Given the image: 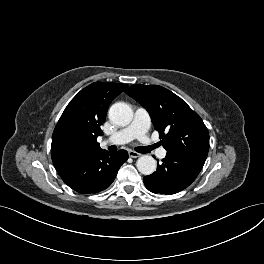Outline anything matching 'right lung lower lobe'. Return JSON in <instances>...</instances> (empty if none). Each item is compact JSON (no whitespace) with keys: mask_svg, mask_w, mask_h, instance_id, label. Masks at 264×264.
<instances>
[{"mask_svg":"<svg viewBox=\"0 0 264 264\" xmlns=\"http://www.w3.org/2000/svg\"><path fill=\"white\" fill-rule=\"evenodd\" d=\"M127 159L128 153L124 150H104L58 173L73 190L82 194L97 193L111 185Z\"/></svg>","mask_w":264,"mask_h":264,"instance_id":"obj_1","label":"right lung lower lobe"}]
</instances>
